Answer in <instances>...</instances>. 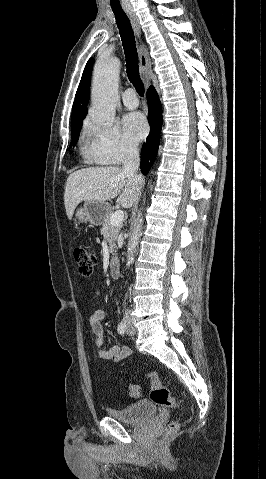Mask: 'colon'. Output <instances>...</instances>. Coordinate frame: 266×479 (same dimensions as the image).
Here are the masks:
<instances>
[{"label": "colon", "instance_id": "5ec220e1", "mask_svg": "<svg viewBox=\"0 0 266 479\" xmlns=\"http://www.w3.org/2000/svg\"><path fill=\"white\" fill-rule=\"evenodd\" d=\"M73 257L77 264L78 271L83 276H90L96 264V255L85 247H77L73 251ZM151 381L150 399L159 406L170 408H180V402L170 393V391L161 383V380L156 372H147L145 374ZM129 393L133 397L141 395L139 386L129 384ZM179 424L173 421L167 428L166 437H170L178 430Z\"/></svg>", "mask_w": 266, "mask_h": 479}]
</instances>
